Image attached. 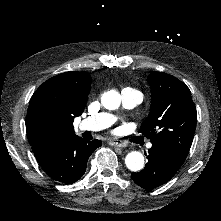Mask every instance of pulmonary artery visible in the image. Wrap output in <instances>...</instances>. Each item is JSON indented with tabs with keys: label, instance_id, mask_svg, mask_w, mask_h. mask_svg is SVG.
<instances>
[{
	"label": "pulmonary artery",
	"instance_id": "e3ab8cb5",
	"mask_svg": "<svg viewBox=\"0 0 221 221\" xmlns=\"http://www.w3.org/2000/svg\"><path fill=\"white\" fill-rule=\"evenodd\" d=\"M143 97L140 87L125 86L120 91L119 100L123 106L129 110L134 109L141 102ZM115 122V116L109 115L108 112L88 114L87 117L81 119V124L88 130H103L107 129Z\"/></svg>",
	"mask_w": 221,
	"mask_h": 221
}]
</instances>
